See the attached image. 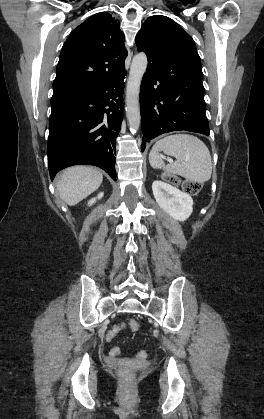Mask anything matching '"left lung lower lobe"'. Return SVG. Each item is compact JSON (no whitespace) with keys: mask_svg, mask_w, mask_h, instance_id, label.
Instances as JSON below:
<instances>
[{"mask_svg":"<svg viewBox=\"0 0 264 419\" xmlns=\"http://www.w3.org/2000/svg\"><path fill=\"white\" fill-rule=\"evenodd\" d=\"M144 151L146 142L171 131H191L209 135L203 83L186 85L165 79L148 65L140 87Z\"/></svg>","mask_w":264,"mask_h":419,"instance_id":"obj_1","label":"left lung lower lobe"}]
</instances>
